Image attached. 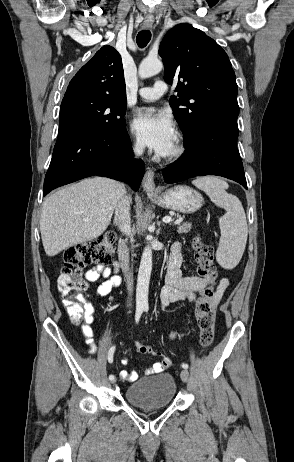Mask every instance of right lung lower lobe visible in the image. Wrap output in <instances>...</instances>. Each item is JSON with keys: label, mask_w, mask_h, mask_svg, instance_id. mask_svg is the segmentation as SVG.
Masks as SVG:
<instances>
[{"label": "right lung lower lobe", "mask_w": 294, "mask_h": 462, "mask_svg": "<svg viewBox=\"0 0 294 462\" xmlns=\"http://www.w3.org/2000/svg\"><path fill=\"white\" fill-rule=\"evenodd\" d=\"M144 172L143 161L133 158L125 127L74 133L56 141L43 196L57 187L94 175L124 181L137 190Z\"/></svg>", "instance_id": "obj_1"}]
</instances>
